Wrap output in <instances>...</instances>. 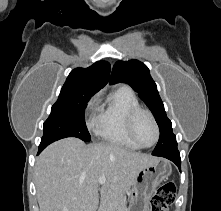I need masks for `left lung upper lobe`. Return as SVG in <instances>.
<instances>
[{"label": "left lung upper lobe", "mask_w": 221, "mask_h": 211, "mask_svg": "<svg viewBox=\"0 0 221 211\" xmlns=\"http://www.w3.org/2000/svg\"><path fill=\"white\" fill-rule=\"evenodd\" d=\"M129 84L153 113L160 129L159 141L152 152L154 156L178 151L176 136L172 132L171 121L167 118L157 86L149 69L138 60L118 61L113 67L111 83Z\"/></svg>", "instance_id": "left-lung-upper-lobe-1"}]
</instances>
